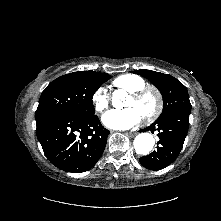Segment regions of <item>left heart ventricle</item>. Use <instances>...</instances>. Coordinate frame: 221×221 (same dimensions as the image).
Listing matches in <instances>:
<instances>
[{
  "mask_svg": "<svg viewBox=\"0 0 221 221\" xmlns=\"http://www.w3.org/2000/svg\"><path fill=\"white\" fill-rule=\"evenodd\" d=\"M155 105H156V99L152 93H148L144 97L138 100L129 96L125 103L126 108L128 107L135 108L140 113L142 118L150 114L154 110Z\"/></svg>",
  "mask_w": 221,
  "mask_h": 221,
  "instance_id": "left-heart-ventricle-1",
  "label": "left heart ventricle"
}]
</instances>
